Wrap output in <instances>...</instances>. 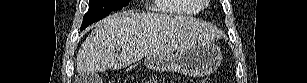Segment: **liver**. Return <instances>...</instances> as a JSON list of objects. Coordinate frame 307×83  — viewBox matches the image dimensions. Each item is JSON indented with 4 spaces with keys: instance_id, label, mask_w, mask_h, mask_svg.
Segmentation results:
<instances>
[{
    "instance_id": "1",
    "label": "liver",
    "mask_w": 307,
    "mask_h": 83,
    "mask_svg": "<svg viewBox=\"0 0 307 83\" xmlns=\"http://www.w3.org/2000/svg\"><path fill=\"white\" fill-rule=\"evenodd\" d=\"M219 37L214 26L194 18L115 13L99 21L86 38L77 54L76 71L88 75L123 68L144 56L166 55Z\"/></svg>"
}]
</instances>
